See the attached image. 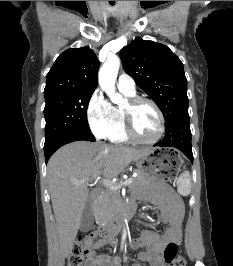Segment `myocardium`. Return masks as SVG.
I'll return each mask as SVG.
<instances>
[{"instance_id": "f54148a6", "label": "myocardium", "mask_w": 233, "mask_h": 266, "mask_svg": "<svg viewBox=\"0 0 233 266\" xmlns=\"http://www.w3.org/2000/svg\"><path fill=\"white\" fill-rule=\"evenodd\" d=\"M126 103H127V107L122 108V114H123L124 123H125V130H126V134L128 138L140 144H155L159 142L165 132V117H164L162 110L158 106V104L152 99L145 98V97H139V96L130 97ZM142 104L151 105L155 109L158 115V118H159V131L157 135L152 139H143L139 137L136 134L135 129H134L132 114H133V111Z\"/></svg>"}]
</instances>
